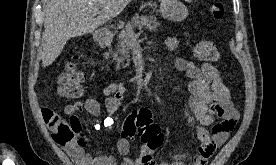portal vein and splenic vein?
I'll return each mask as SVG.
<instances>
[{"instance_id": "18ae733b", "label": "portal vein and splenic vein", "mask_w": 276, "mask_h": 165, "mask_svg": "<svg viewBox=\"0 0 276 165\" xmlns=\"http://www.w3.org/2000/svg\"><path fill=\"white\" fill-rule=\"evenodd\" d=\"M96 14H98V13H96ZM139 34L135 35L134 38H133V40H135L136 38H138Z\"/></svg>"}]
</instances>
